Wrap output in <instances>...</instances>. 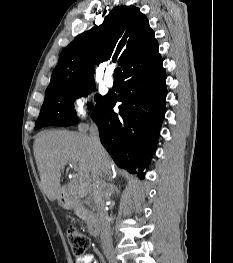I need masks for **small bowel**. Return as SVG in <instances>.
Segmentation results:
<instances>
[{"mask_svg":"<svg viewBox=\"0 0 233 263\" xmlns=\"http://www.w3.org/2000/svg\"><path fill=\"white\" fill-rule=\"evenodd\" d=\"M76 263H98V262L93 255L88 254L82 257L81 259L76 260Z\"/></svg>","mask_w":233,"mask_h":263,"instance_id":"small-bowel-1","label":"small bowel"}]
</instances>
